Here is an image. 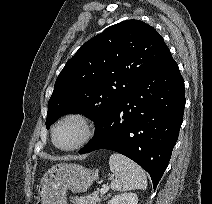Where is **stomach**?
I'll list each match as a JSON object with an SVG mask.
<instances>
[{
  "label": "stomach",
  "mask_w": 212,
  "mask_h": 204,
  "mask_svg": "<svg viewBox=\"0 0 212 204\" xmlns=\"http://www.w3.org/2000/svg\"><path fill=\"white\" fill-rule=\"evenodd\" d=\"M98 169H87L75 163H59L41 179L37 204H67L66 191L84 192L92 185Z\"/></svg>",
  "instance_id": "0dacf381"
}]
</instances>
